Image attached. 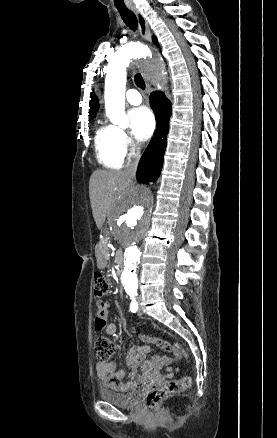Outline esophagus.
<instances>
[{
	"label": "esophagus",
	"mask_w": 277,
	"mask_h": 438,
	"mask_svg": "<svg viewBox=\"0 0 277 438\" xmlns=\"http://www.w3.org/2000/svg\"><path fill=\"white\" fill-rule=\"evenodd\" d=\"M129 8L136 14V17L138 19V25H139L141 37L144 40H146L147 42H150L151 41V31H150V27H149V24H148L146 18L142 15V13L136 7H129ZM154 50L156 52L157 60L159 61L160 65L162 67H164L165 63L161 59L160 53L156 49H154Z\"/></svg>",
	"instance_id": "obj_1"
}]
</instances>
